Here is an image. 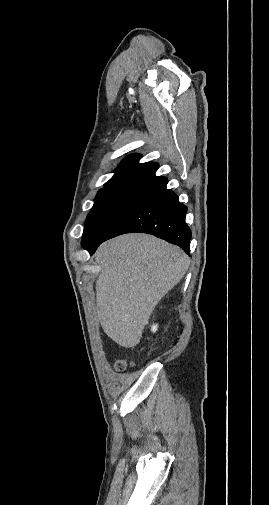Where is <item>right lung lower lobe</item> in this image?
Wrapping results in <instances>:
<instances>
[{
  "instance_id": "98d812e1",
  "label": "right lung lower lobe",
  "mask_w": 269,
  "mask_h": 505,
  "mask_svg": "<svg viewBox=\"0 0 269 505\" xmlns=\"http://www.w3.org/2000/svg\"><path fill=\"white\" fill-rule=\"evenodd\" d=\"M167 178L157 177L116 213L96 241L84 246L90 254L104 241L115 236L141 232L152 234L189 253L191 231L185 222L187 207L178 196L166 188Z\"/></svg>"
}]
</instances>
